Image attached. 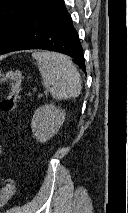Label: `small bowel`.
Here are the masks:
<instances>
[{
  "instance_id": "c3829d8e",
  "label": "small bowel",
  "mask_w": 128,
  "mask_h": 213,
  "mask_svg": "<svg viewBox=\"0 0 128 213\" xmlns=\"http://www.w3.org/2000/svg\"><path fill=\"white\" fill-rule=\"evenodd\" d=\"M1 154H2V146L0 145V156H1Z\"/></svg>"
}]
</instances>
